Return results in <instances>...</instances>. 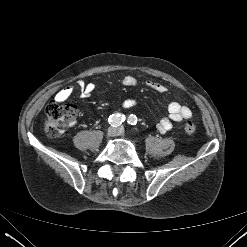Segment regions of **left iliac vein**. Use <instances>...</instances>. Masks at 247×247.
Wrapping results in <instances>:
<instances>
[{
	"mask_svg": "<svg viewBox=\"0 0 247 247\" xmlns=\"http://www.w3.org/2000/svg\"><path fill=\"white\" fill-rule=\"evenodd\" d=\"M117 134L120 135V136H123L124 135V129L122 127H120L118 129V133Z\"/></svg>",
	"mask_w": 247,
	"mask_h": 247,
	"instance_id": "4c4485c4",
	"label": "left iliac vein"
}]
</instances>
